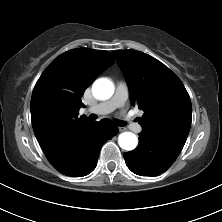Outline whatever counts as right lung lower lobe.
Returning a JSON list of instances; mask_svg holds the SVG:
<instances>
[{"label":"right lung lower lobe","instance_id":"right-lung-lower-lobe-1","mask_svg":"<svg viewBox=\"0 0 222 222\" xmlns=\"http://www.w3.org/2000/svg\"><path fill=\"white\" fill-rule=\"evenodd\" d=\"M117 132V126L109 119H103L100 122L90 121L65 160L60 164L50 163L60 173L67 176L88 175L96 167L102 145Z\"/></svg>","mask_w":222,"mask_h":222}]
</instances>
